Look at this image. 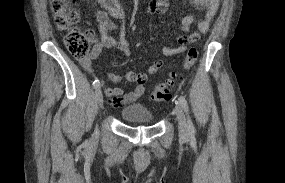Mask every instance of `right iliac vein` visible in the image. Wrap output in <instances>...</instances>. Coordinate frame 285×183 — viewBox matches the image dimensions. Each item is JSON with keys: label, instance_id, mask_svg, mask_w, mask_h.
<instances>
[{"label": "right iliac vein", "instance_id": "obj_1", "mask_svg": "<svg viewBox=\"0 0 285 183\" xmlns=\"http://www.w3.org/2000/svg\"><path fill=\"white\" fill-rule=\"evenodd\" d=\"M95 99L99 107L101 108L103 106V95L99 87L95 88Z\"/></svg>", "mask_w": 285, "mask_h": 183}]
</instances>
